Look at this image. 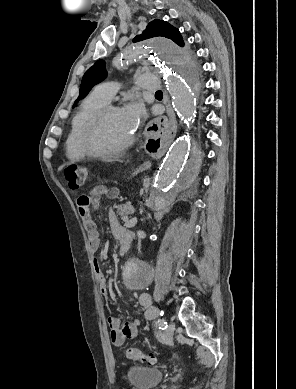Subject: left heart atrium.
<instances>
[{
  "instance_id": "left-heart-atrium-1",
  "label": "left heart atrium",
  "mask_w": 296,
  "mask_h": 389,
  "mask_svg": "<svg viewBox=\"0 0 296 389\" xmlns=\"http://www.w3.org/2000/svg\"><path fill=\"white\" fill-rule=\"evenodd\" d=\"M121 111L129 127L132 131H134L138 127L140 120L144 115V108L142 104L139 102H131L126 105Z\"/></svg>"
}]
</instances>
